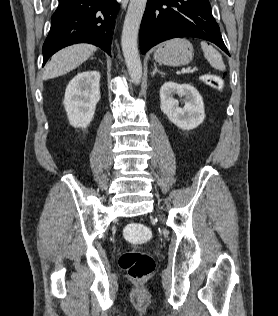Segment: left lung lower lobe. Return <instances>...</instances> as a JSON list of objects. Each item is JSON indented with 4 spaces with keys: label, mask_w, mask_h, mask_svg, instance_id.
I'll return each instance as SVG.
<instances>
[{
    "label": "left lung lower lobe",
    "mask_w": 278,
    "mask_h": 316,
    "mask_svg": "<svg viewBox=\"0 0 278 316\" xmlns=\"http://www.w3.org/2000/svg\"><path fill=\"white\" fill-rule=\"evenodd\" d=\"M140 50L176 37L213 42L229 56L209 0H148L140 27Z\"/></svg>",
    "instance_id": "obj_1"
}]
</instances>
